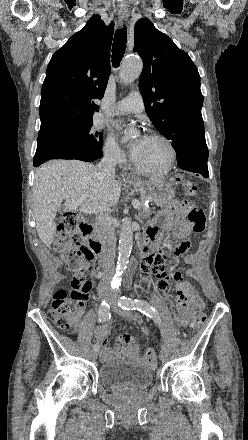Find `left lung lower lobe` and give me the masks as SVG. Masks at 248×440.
Here are the masks:
<instances>
[{
    "instance_id": "obj_1",
    "label": "left lung lower lobe",
    "mask_w": 248,
    "mask_h": 440,
    "mask_svg": "<svg viewBox=\"0 0 248 440\" xmlns=\"http://www.w3.org/2000/svg\"><path fill=\"white\" fill-rule=\"evenodd\" d=\"M178 167L182 170L199 173L205 178L209 177L207 159L204 158L195 161L180 162L178 163Z\"/></svg>"
}]
</instances>
